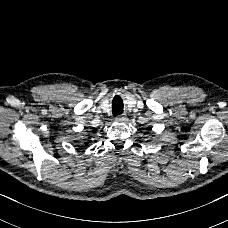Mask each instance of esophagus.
<instances>
[{
	"mask_svg": "<svg viewBox=\"0 0 228 228\" xmlns=\"http://www.w3.org/2000/svg\"><path fill=\"white\" fill-rule=\"evenodd\" d=\"M126 119V115H119L118 117H116V121H122Z\"/></svg>",
	"mask_w": 228,
	"mask_h": 228,
	"instance_id": "obj_1",
	"label": "esophagus"
}]
</instances>
